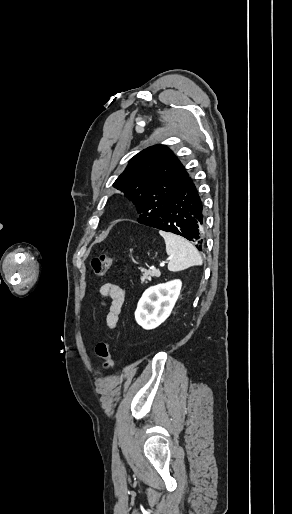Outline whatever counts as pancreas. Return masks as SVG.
<instances>
[{"instance_id":"obj_1","label":"pancreas","mask_w":292,"mask_h":514,"mask_svg":"<svg viewBox=\"0 0 292 514\" xmlns=\"http://www.w3.org/2000/svg\"><path fill=\"white\" fill-rule=\"evenodd\" d=\"M141 272H143L141 276V284H143V282L147 284L146 280H151V276H156V278H159L160 276V272H158V270H144V268H142Z\"/></svg>"}]
</instances>
